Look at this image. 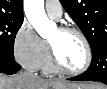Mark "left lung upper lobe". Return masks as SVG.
Listing matches in <instances>:
<instances>
[{"mask_svg":"<svg viewBox=\"0 0 107 89\" xmlns=\"http://www.w3.org/2000/svg\"><path fill=\"white\" fill-rule=\"evenodd\" d=\"M86 36L91 50L107 43V0H60Z\"/></svg>","mask_w":107,"mask_h":89,"instance_id":"1","label":"left lung upper lobe"}]
</instances>
